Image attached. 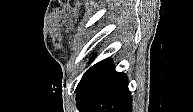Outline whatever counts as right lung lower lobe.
<instances>
[{
    "label": "right lung lower lobe",
    "mask_w": 193,
    "mask_h": 112,
    "mask_svg": "<svg viewBox=\"0 0 193 112\" xmlns=\"http://www.w3.org/2000/svg\"><path fill=\"white\" fill-rule=\"evenodd\" d=\"M79 112H132V97L124 73L110 58L91 67L76 88Z\"/></svg>",
    "instance_id": "right-lung-lower-lobe-1"
}]
</instances>
